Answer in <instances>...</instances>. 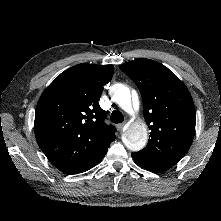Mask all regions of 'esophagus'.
<instances>
[{
  "label": "esophagus",
  "mask_w": 221,
  "mask_h": 221,
  "mask_svg": "<svg viewBox=\"0 0 221 221\" xmlns=\"http://www.w3.org/2000/svg\"><path fill=\"white\" fill-rule=\"evenodd\" d=\"M124 127H125V124L124 123H121V124H118L117 125V129L119 130V131H123L124 130Z\"/></svg>",
  "instance_id": "34e87169"
}]
</instances>
